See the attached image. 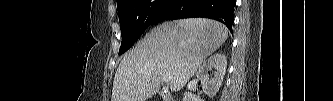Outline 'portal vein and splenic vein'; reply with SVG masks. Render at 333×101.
Listing matches in <instances>:
<instances>
[{
	"instance_id": "obj_1",
	"label": "portal vein and splenic vein",
	"mask_w": 333,
	"mask_h": 101,
	"mask_svg": "<svg viewBox=\"0 0 333 101\" xmlns=\"http://www.w3.org/2000/svg\"><path fill=\"white\" fill-rule=\"evenodd\" d=\"M170 79H171V76H170V75H164V76L162 77V80H163L164 82H169Z\"/></svg>"
}]
</instances>
